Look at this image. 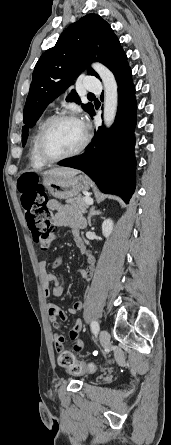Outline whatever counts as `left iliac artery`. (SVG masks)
<instances>
[{"label": "left iliac artery", "mask_w": 171, "mask_h": 445, "mask_svg": "<svg viewBox=\"0 0 171 445\" xmlns=\"http://www.w3.org/2000/svg\"><path fill=\"white\" fill-rule=\"evenodd\" d=\"M91 330H92V332L96 335V334H98V332H99V324H98V322L97 321H92L91 322Z\"/></svg>", "instance_id": "left-iliac-artery-1"}]
</instances>
